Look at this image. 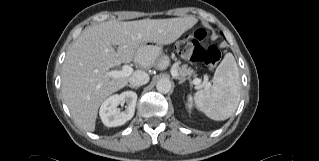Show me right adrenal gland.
<instances>
[{"label": "right adrenal gland", "instance_id": "right-adrenal-gland-1", "mask_svg": "<svg viewBox=\"0 0 319 161\" xmlns=\"http://www.w3.org/2000/svg\"><path fill=\"white\" fill-rule=\"evenodd\" d=\"M128 87L132 88V89H138V87L132 86V85H128Z\"/></svg>", "mask_w": 319, "mask_h": 161}]
</instances>
